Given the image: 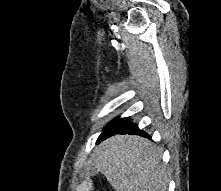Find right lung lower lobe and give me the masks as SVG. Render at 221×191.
Returning <instances> with one entry per match:
<instances>
[{
    "instance_id": "1",
    "label": "right lung lower lobe",
    "mask_w": 221,
    "mask_h": 191,
    "mask_svg": "<svg viewBox=\"0 0 221 191\" xmlns=\"http://www.w3.org/2000/svg\"><path fill=\"white\" fill-rule=\"evenodd\" d=\"M137 127V124L131 122L129 118H117L112 120L111 123L105 127L104 132L99 136L97 143L115 134L129 133L150 138L144 131H140Z\"/></svg>"
}]
</instances>
